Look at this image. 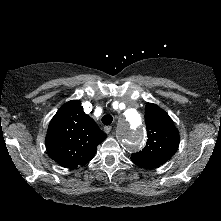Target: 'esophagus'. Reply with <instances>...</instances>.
Masks as SVG:
<instances>
[{
	"label": "esophagus",
	"mask_w": 221,
	"mask_h": 221,
	"mask_svg": "<svg viewBox=\"0 0 221 221\" xmlns=\"http://www.w3.org/2000/svg\"><path fill=\"white\" fill-rule=\"evenodd\" d=\"M111 129H112L111 126H105V127H104V131H105V133H107V134L110 133Z\"/></svg>",
	"instance_id": "esophagus-1"
}]
</instances>
